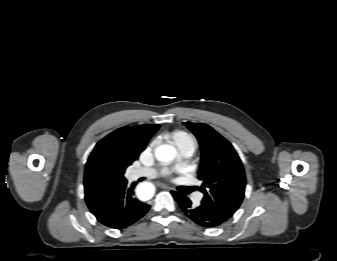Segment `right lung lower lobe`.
<instances>
[{"label":"right lung lower lobe","mask_w":337,"mask_h":261,"mask_svg":"<svg viewBox=\"0 0 337 261\" xmlns=\"http://www.w3.org/2000/svg\"><path fill=\"white\" fill-rule=\"evenodd\" d=\"M136 183L127 188L123 185L114 195L108 198L105 205L94 215L103 225L113 229H124L142 218L150 206L133 197Z\"/></svg>","instance_id":"obj_1"}]
</instances>
